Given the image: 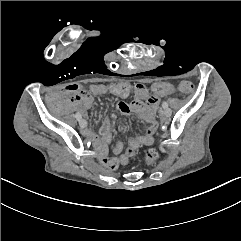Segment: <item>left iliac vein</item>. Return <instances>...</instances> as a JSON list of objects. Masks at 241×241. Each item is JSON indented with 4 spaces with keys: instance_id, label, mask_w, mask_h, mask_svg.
Listing matches in <instances>:
<instances>
[{
    "instance_id": "left-iliac-vein-1",
    "label": "left iliac vein",
    "mask_w": 241,
    "mask_h": 241,
    "mask_svg": "<svg viewBox=\"0 0 241 241\" xmlns=\"http://www.w3.org/2000/svg\"><path fill=\"white\" fill-rule=\"evenodd\" d=\"M160 115L162 120L166 121L171 115V110L169 108H165Z\"/></svg>"
}]
</instances>
